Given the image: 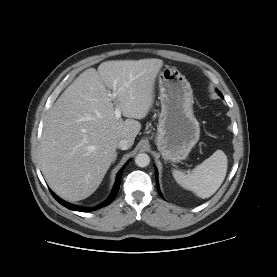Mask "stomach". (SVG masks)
Instances as JSON below:
<instances>
[{
	"label": "stomach",
	"mask_w": 277,
	"mask_h": 277,
	"mask_svg": "<svg viewBox=\"0 0 277 277\" xmlns=\"http://www.w3.org/2000/svg\"><path fill=\"white\" fill-rule=\"evenodd\" d=\"M159 116L155 142L165 160H184L199 141V122L193 112L190 83L176 68L166 66L159 74Z\"/></svg>",
	"instance_id": "obj_1"
}]
</instances>
